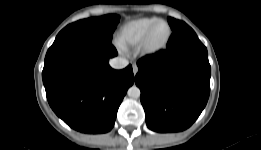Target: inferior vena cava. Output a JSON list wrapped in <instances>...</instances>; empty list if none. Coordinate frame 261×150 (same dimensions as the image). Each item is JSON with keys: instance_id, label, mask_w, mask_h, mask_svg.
<instances>
[{"instance_id": "obj_1", "label": "inferior vena cava", "mask_w": 261, "mask_h": 150, "mask_svg": "<svg viewBox=\"0 0 261 150\" xmlns=\"http://www.w3.org/2000/svg\"><path fill=\"white\" fill-rule=\"evenodd\" d=\"M109 64L114 69H123L128 66L129 62L125 58L115 57L110 60Z\"/></svg>"}]
</instances>
